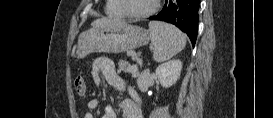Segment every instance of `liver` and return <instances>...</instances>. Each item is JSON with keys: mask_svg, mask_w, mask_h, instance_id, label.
I'll return each mask as SVG.
<instances>
[{"mask_svg": "<svg viewBox=\"0 0 273 118\" xmlns=\"http://www.w3.org/2000/svg\"><path fill=\"white\" fill-rule=\"evenodd\" d=\"M112 22H114V21L111 20V19L102 18V19H97V20L93 21L91 25L93 27H97V26L107 25V24H110Z\"/></svg>", "mask_w": 273, "mask_h": 118, "instance_id": "obj_1", "label": "liver"}]
</instances>
